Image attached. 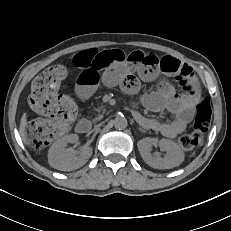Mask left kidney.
<instances>
[{
	"label": "left kidney",
	"mask_w": 231,
	"mask_h": 231,
	"mask_svg": "<svg viewBox=\"0 0 231 231\" xmlns=\"http://www.w3.org/2000/svg\"><path fill=\"white\" fill-rule=\"evenodd\" d=\"M138 149L142 159L149 166L156 169H171L179 166L184 161V153L180 147L169 139L156 140L151 137H146L138 141ZM160 146L166 151L165 157L151 154L152 146Z\"/></svg>",
	"instance_id": "obj_1"
}]
</instances>
